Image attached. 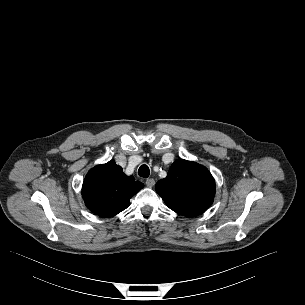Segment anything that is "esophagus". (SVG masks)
<instances>
[{"label":"esophagus","instance_id":"obj_1","mask_svg":"<svg viewBox=\"0 0 305 305\" xmlns=\"http://www.w3.org/2000/svg\"><path fill=\"white\" fill-rule=\"evenodd\" d=\"M154 184H155V180L153 179V178H148L147 180H146V185L148 186V187H153L154 186Z\"/></svg>","mask_w":305,"mask_h":305}]
</instances>
